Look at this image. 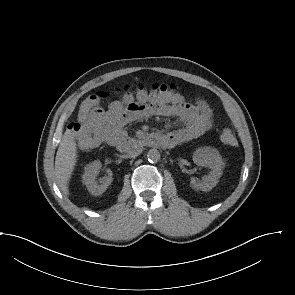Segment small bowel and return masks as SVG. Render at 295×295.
Segmentation results:
<instances>
[{
  "label": "small bowel",
  "mask_w": 295,
  "mask_h": 295,
  "mask_svg": "<svg viewBox=\"0 0 295 295\" xmlns=\"http://www.w3.org/2000/svg\"><path fill=\"white\" fill-rule=\"evenodd\" d=\"M151 116L174 117L182 124V127L164 136L168 146L196 139L213 126L212 111L201 99L190 103L177 92L140 90L125 93L121 99L112 102L107 110L96 109L88 118L84 131H75V135L80 148L84 150L100 143L114 145L124 138L126 124ZM90 132L98 133L95 141L87 137L86 134Z\"/></svg>",
  "instance_id": "1"
}]
</instances>
